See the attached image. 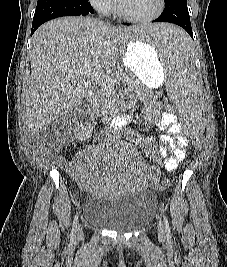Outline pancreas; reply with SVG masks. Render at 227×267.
Instances as JSON below:
<instances>
[{"mask_svg": "<svg viewBox=\"0 0 227 267\" xmlns=\"http://www.w3.org/2000/svg\"><path fill=\"white\" fill-rule=\"evenodd\" d=\"M116 78L110 81L106 86L99 85L96 95L93 99V106L96 111L108 110L117 99L114 84L117 80H121L125 85L131 89H138L143 87L140 81L133 75H128L123 71H116L112 74Z\"/></svg>", "mask_w": 227, "mask_h": 267, "instance_id": "obj_1", "label": "pancreas"}]
</instances>
